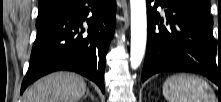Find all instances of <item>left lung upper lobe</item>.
Wrapping results in <instances>:
<instances>
[{"instance_id":"5c2ea615","label":"left lung upper lobe","mask_w":221,"mask_h":102,"mask_svg":"<svg viewBox=\"0 0 221 102\" xmlns=\"http://www.w3.org/2000/svg\"><path fill=\"white\" fill-rule=\"evenodd\" d=\"M194 2L202 5L203 7H205L207 10H209V4L210 1L209 0H193Z\"/></svg>"}]
</instances>
